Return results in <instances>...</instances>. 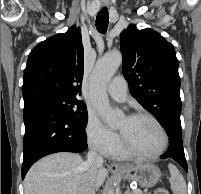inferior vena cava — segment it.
<instances>
[{
	"mask_svg": "<svg viewBox=\"0 0 201 194\" xmlns=\"http://www.w3.org/2000/svg\"><path fill=\"white\" fill-rule=\"evenodd\" d=\"M103 165V157L91 148L87 154V160L84 162L86 177L79 187L78 194H96L94 187V172Z\"/></svg>",
	"mask_w": 201,
	"mask_h": 194,
	"instance_id": "inferior-vena-cava-1",
	"label": "inferior vena cava"
}]
</instances>
